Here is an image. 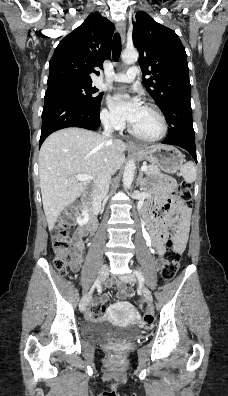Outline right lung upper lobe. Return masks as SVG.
Here are the masks:
<instances>
[{
	"label": "right lung upper lobe",
	"mask_w": 228,
	"mask_h": 396,
	"mask_svg": "<svg viewBox=\"0 0 228 396\" xmlns=\"http://www.w3.org/2000/svg\"><path fill=\"white\" fill-rule=\"evenodd\" d=\"M114 25L99 13L90 14L85 21L67 35L54 51L49 63L47 84L63 82L92 83L94 68L103 67L110 57Z\"/></svg>",
	"instance_id": "cb5924a9"
}]
</instances>
